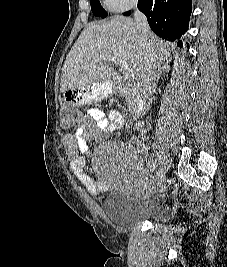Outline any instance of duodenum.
Masks as SVG:
<instances>
[{"label": "duodenum", "instance_id": "duodenum-1", "mask_svg": "<svg viewBox=\"0 0 227 267\" xmlns=\"http://www.w3.org/2000/svg\"><path fill=\"white\" fill-rule=\"evenodd\" d=\"M114 85L119 90V92L129 96L132 101V105L130 108V112L133 117L137 118L141 116L145 110V101L141 94L129 87H127L121 76L119 74H115L112 78Z\"/></svg>", "mask_w": 227, "mask_h": 267}]
</instances>
